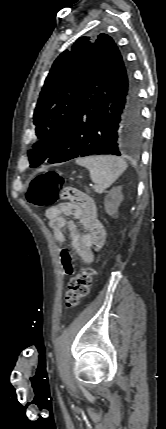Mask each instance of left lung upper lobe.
I'll return each instance as SVG.
<instances>
[{"instance_id":"1","label":"left lung upper lobe","mask_w":166,"mask_h":429,"mask_svg":"<svg viewBox=\"0 0 166 429\" xmlns=\"http://www.w3.org/2000/svg\"><path fill=\"white\" fill-rule=\"evenodd\" d=\"M96 39L80 37L53 63L34 111L36 135L42 140L28 152L30 167L42 164L58 147L89 77Z\"/></svg>"}]
</instances>
